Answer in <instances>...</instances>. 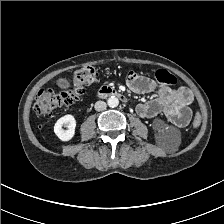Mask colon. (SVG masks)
<instances>
[{
	"label": "colon",
	"mask_w": 224,
	"mask_h": 224,
	"mask_svg": "<svg viewBox=\"0 0 224 224\" xmlns=\"http://www.w3.org/2000/svg\"><path fill=\"white\" fill-rule=\"evenodd\" d=\"M98 71L94 66L85 65L77 69L72 77L73 88L60 92L52 89H41L37 96L34 109L39 116H48L58 107L74 103L82 94L85 86L91 85L97 79ZM156 79L163 84L174 85L176 78L169 71L159 69L155 73ZM201 124V115L196 112L192 119V127Z\"/></svg>",
	"instance_id": "obj_1"
}]
</instances>
